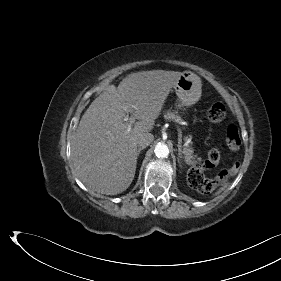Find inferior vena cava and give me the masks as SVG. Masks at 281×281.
Returning a JSON list of instances; mask_svg holds the SVG:
<instances>
[{"instance_id": "obj_1", "label": "inferior vena cava", "mask_w": 281, "mask_h": 281, "mask_svg": "<svg viewBox=\"0 0 281 281\" xmlns=\"http://www.w3.org/2000/svg\"><path fill=\"white\" fill-rule=\"evenodd\" d=\"M154 140V136L151 133L140 134L137 138V145L139 148H146Z\"/></svg>"}]
</instances>
